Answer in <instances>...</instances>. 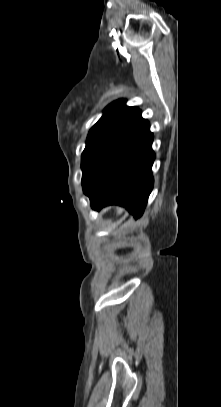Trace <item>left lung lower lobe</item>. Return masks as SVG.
<instances>
[{"mask_svg":"<svg viewBox=\"0 0 221 407\" xmlns=\"http://www.w3.org/2000/svg\"><path fill=\"white\" fill-rule=\"evenodd\" d=\"M153 134L139 111L94 165L82 184L91 207L124 206L138 218L153 189Z\"/></svg>","mask_w":221,"mask_h":407,"instance_id":"obj_1","label":"left lung lower lobe"}]
</instances>
